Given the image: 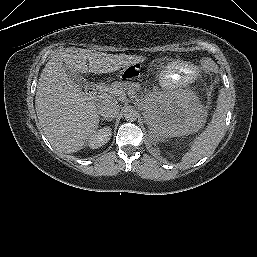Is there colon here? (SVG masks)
Listing matches in <instances>:
<instances>
[{"mask_svg": "<svg viewBox=\"0 0 257 257\" xmlns=\"http://www.w3.org/2000/svg\"><path fill=\"white\" fill-rule=\"evenodd\" d=\"M202 63L206 72L212 75L217 74V67L212 60H210L209 58H205ZM140 74H141L140 66L135 65L122 70L119 75L124 80H130V79H135L139 77ZM216 80H217V77H216Z\"/></svg>", "mask_w": 257, "mask_h": 257, "instance_id": "obj_1", "label": "colon"}]
</instances>
